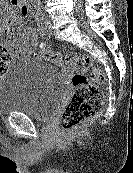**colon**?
Returning <instances> with one entry per match:
<instances>
[{
	"label": "colon",
	"mask_w": 133,
	"mask_h": 173,
	"mask_svg": "<svg viewBox=\"0 0 133 173\" xmlns=\"http://www.w3.org/2000/svg\"><path fill=\"white\" fill-rule=\"evenodd\" d=\"M36 57L43 60L63 59L74 72V93L61 115V126L65 131L75 130L98 113L103 105L100 87L105 82V75L94 66L89 56L68 53L62 58L58 52L43 44ZM9 60L5 49L0 47V75L4 73Z\"/></svg>",
	"instance_id": "5ec220e1"
}]
</instances>
